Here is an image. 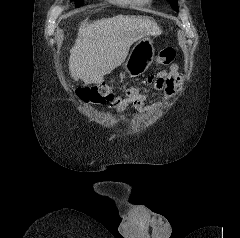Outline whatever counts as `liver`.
I'll use <instances>...</instances> for the list:
<instances>
[{
  "label": "liver",
  "instance_id": "liver-1",
  "mask_svg": "<svg viewBox=\"0 0 240 238\" xmlns=\"http://www.w3.org/2000/svg\"><path fill=\"white\" fill-rule=\"evenodd\" d=\"M156 22L145 16H123L83 21L70 50L71 76L86 85L100 84L126 59L131 45L149 35H160Z\"/></svg>",
  "mask_w": 240,
  "mask_h": 238
}]
</instances>
